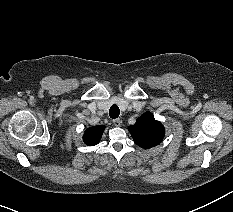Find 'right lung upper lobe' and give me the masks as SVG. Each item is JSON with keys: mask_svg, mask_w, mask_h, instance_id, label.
<instances>
[{"mask_svg": "<svg viewBox=\"0 0 233 212\" xmlns=\"http://www.w3.org/2000/svg\"><path fill=\"white\" fill-rule=\"evenodd\" d=\"M104 129L105 126L102 125L88 128L84 135V142L89 146L98 144Z\"/></svg>", "mask_w": 233, "mask_h": 212, "instance_id": "cb5924a9", "label": "right lung upper lobe"}]
</instances>
